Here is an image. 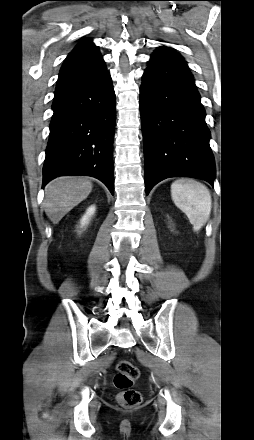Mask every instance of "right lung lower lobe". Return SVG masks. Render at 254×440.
<instances>
[{"instance_id":"1","label":"right lung lower lobe","mask_w":254,"mask_h":440,"mask_svg":"<svg viewBox=\"0 0 254 440\" xmlns=\"http://www.w3.org/2000/svg\"><path fill=\"white\" fill-rule=\"evenodd\" d=\"M52 110L42 187L58 176L83 175L114 194L116 102L104 61L59 77Z\"/></svg>"}]
</instances>
